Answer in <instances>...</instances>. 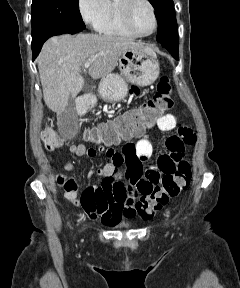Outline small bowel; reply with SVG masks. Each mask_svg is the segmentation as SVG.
Returning a JSON list of instances; mask_svg holds the SVG:
<instances>
[{
    "label": "small bowel",
    "mask_w": 240,
    "mask_h": 288,
    "mask_svg": "<svg viewBox=\"0 0 240 288\" xmlns=\"http://www.w3.org/2000/svg\"><path fill=\"white\" fill-rule=\"evenodd\" d=\"M129 94L136 96L139 94V89L131 87ZM156 124L161 131H176L166 139L167 152L159 156L156 166L144 170L143 163L150 158L152 145L143 138V130L114 140L95 141L101 144L98 151L109 158L110 162L101 169L90 171L89 176L101 177L102 181L98 185L86 188L80 198L78 194L67 193V199L82 208L91 219H98L108 226H115L123 218H133L136 214L134 209L136 200L160 185L164 175L173 173L184 156L185 147L196 142L194 131L189 127L179 126L178 118L174 114L161 116ZM102 127L104 126L97 129ZM132 138L140 140L133 143L130 141ZM121 139L127 143L122 151L118 152L113 146ZM69 150L76 157L85 155L94 157L97 153L96 149L87 148L84 144L71 145ZM122 167H125L124 173ZM63 168L70 172L74 169V164L67 161ZM122 176L126 182L122 180Z\"/></svg>",
    "instance_id": "small-bowel-1"
}]
</instances>
